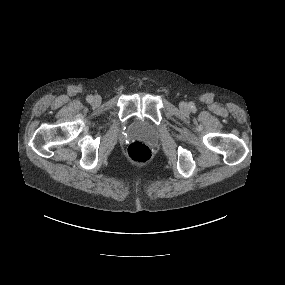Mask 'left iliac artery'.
Returning <instances> with one entry per match:
<instances>
[{
	"label": "left iliac artery",
	"mask_w": 285,
	"mask_h": 285,
	"mask_svg": "<svg viewBox=\"0 0 285 285\" xmlns=\"http://www.w3.org/2000/svg\"><path fill=\"white\" fill-rule=\"evenodd\" d=\"M191 108L194 109L195 107H194V106H191Z\"/></svg>",
	"instance_id": "obj_1"
}]
</instances>
